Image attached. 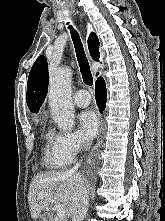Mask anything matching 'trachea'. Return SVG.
<instances>
[{
	"mask_svg": "<svg viewBox=\"0 0 165 221\" xmlns=\"http://www.w3.org/2000/svg\"><path fill=\"white\" fill-rule=\"evenodd\" d=\"M71 38L75 47L77 60L80 67V72L82 74L83 82L89 86L93 85V77L90 71L88 59L84 52L83 44L81 42L78 32L72 27L69 26Z\"/></svg>",
	"mask_w": 165,
	"mask_h": 221,
	"instance_id": "3493384b",
	"label": "trachea"
}]
</instances>
